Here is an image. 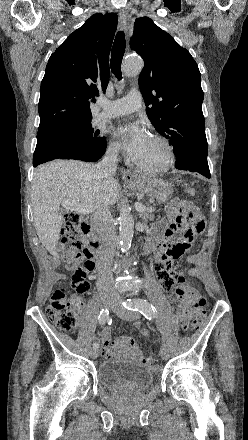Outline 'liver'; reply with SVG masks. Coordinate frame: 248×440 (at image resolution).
Returning <instances> with one entry per match:
<instances>
[{"instance_id":"obj_1","label":"liver","mask_w":248,"mask_h":440,"mask_svg":"<svg viewBox=\"0 0 248 440\" xmlns=\"http://www.w3.org/2000/svg\"><path fill=\"white\" fill-rule=\"evenodd\" d=\"M120 185L113 177L98 175L95 166L82 161L56 160L39 166L33 175L31 207L35 230L47 251L58 257L63 200H77L92 210L114 205Z\"/></svg>"}]
</instances>
